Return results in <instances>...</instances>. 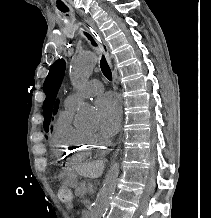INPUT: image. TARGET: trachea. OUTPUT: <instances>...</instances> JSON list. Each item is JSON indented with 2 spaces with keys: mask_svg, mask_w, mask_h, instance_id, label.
I'll list each match as a JSON object with an SVG mask.
<instances>
[{
  "mask_svg": "<svg viewBox=\"0 0 211 218\" xmlns=\"http://www.w3.org/2000/svg\"><path fill=\"white\" fill-rule=\"evenodd\" d=\"M84 34L87 36L88 40H90L91 44L93 46H97L96 42L93 40V38L91 37V35H89L88 33L84 32ZM100 68L101 71L103 73V75L108 79V80H112V73L111 70L109 68V65L104 57V55H102L101 60H100Z\"/></svg>",
  "mask_w": 211,
  "mask_h": 218,
  "instance_id": "1",
  "label": "trachea"
}]
</instances>
